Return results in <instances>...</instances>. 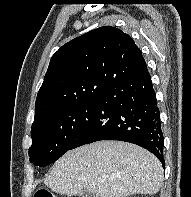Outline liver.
Listing matches in <instances>:
<instances>
[{
  "instance_id": "6515ba94",
  "label": "liver",
  "mask_w": 191,
  "mask_h": 197,
  "mask_svg": "<svg viewBox=\"0 0 191 197\" xmlns=\"http://www.w3.org/2000/svg\"><path fill=\"white\" fill-rule=\"evenodd\" d=\"M162 182L160 161L144 148L121 141H99L70 150L44 178L53 192L72 196L86 190L95 197L152 195Z\"/></svg>"
}]
</instances>
